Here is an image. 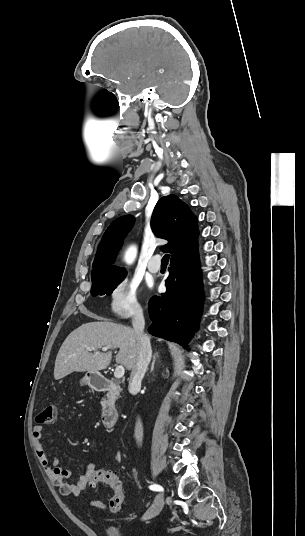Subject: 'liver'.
<instances>
[{
    "label": "liver",
    "mask_w": 305,
    "mask_h": 536,
    "mask_svg": "<svg viewBox=\"0 0 305 536\" xmlns=\"http://www.w3.org/2000/svg\"><path fill=\"white\" fill-rule=\"evenodd\" d=\"M96 320H105L98 318ZM120 348L117 364L133 370L139 356L140 340L132 330L113 322H90L71 332L63 342L55 360L54 378L61 380L72 372H98L106 370L112 360V352H99V348ZM93 348V352L86 350Z\"/></svg>",
    "instance_id": "liver-1"
}]
</instances>
